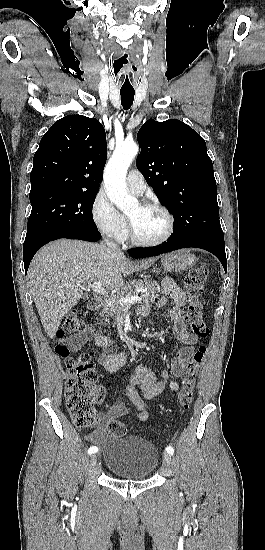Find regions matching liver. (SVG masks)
I'll use <instances>...</instances> for the list:
<instances>
[{"label": "liver", "instance_id": "6515ba94", "mask_svg": "<svg viewBox=\"0 0 265 550\" xmlns=\"http://www.w3.org/2000/svg\"><path fill=\"white\" fill-rule=\"evenodd\" d=\"M155 259L130 261L104 244L60 239L44 246L28 269L31 294L47 335L82 297V285L101 281L107 290L124 288L123 276L146 270Z\"/></svg>", "mask_w": 265, "mask_h": 550}]
</instances>
